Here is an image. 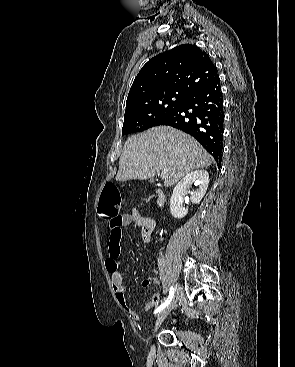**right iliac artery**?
<instances>
[{"mask_svg":"<svg viewBox=\"0 0 295 367\" xmlns=\"http://www.w3.org/2000/svg\"><path fill=\"white\" fill-rule=\"evenodd\" d=\"M158 262L160 264L163 263V257L162 256L159 257ZM174 292H175L174 287L171 286L170 287V290H169V296H168V298L165 300V302H163L159 307H157L155 309V312L154 313H158V312L162 311L170 303V301L172 300V298L174 296Z\"/></svg>","mask_w":295,"mask_h":367,"instance_id":"1","label":"right iliac artery"}]
</instances>
